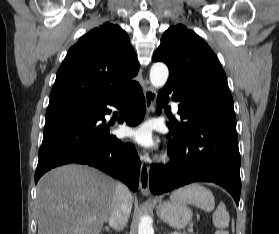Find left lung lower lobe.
Returning a JSON list of instances; mask_svg holds the SVG:
<instances>
[{"instance_id":"obj_1","label":"left lung lower lobe","mask_w":279,"mask_h":234,"mask_svg":"<svg viewBox=\"0 0 279 234\" xmlns=\"http://www.w3.org/2000/svg\"><path fill=\"white\" fill-rule=\"evenodd\" d=\"M170 93L179 102L178 114L183 121L173 122L177 131L167 124L172 131L167 138L173 161L151 166L150 190L159 195L195 181L214 182L238 205L241 159L233 102L188 91L168 79L157 97L158 114L167 105Z\"/></svg>"}]
</instances>
